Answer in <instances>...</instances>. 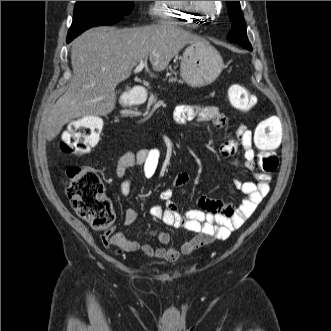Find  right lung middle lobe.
I'll use <instances>...</instances> for the list:
<instances>
[{
  "label": "right lung middle lobe",
  "mask_w": 331,
  "mask_h": 331,
  "mask_svg": "<svg viewBox=\"0 0 331 331\" xmlns=\"http://www.w3.org/2000/svg\"><path fill=\"white\" fill-rule=\"evenodd\" d=\"M133 7L134 1H77L67 39L73 40L90 27L117 23Z\"/></svg>",
  "instance_id": "right-lung-middle-lobe-1"
}]
</instances>
